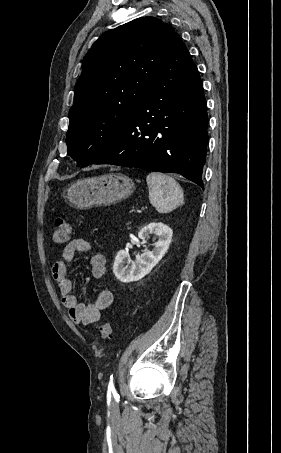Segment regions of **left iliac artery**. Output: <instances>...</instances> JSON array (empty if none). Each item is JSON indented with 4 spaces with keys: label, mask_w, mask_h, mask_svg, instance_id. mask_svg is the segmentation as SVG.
<instances>
[{
    "label": "left iliac artery",
    "mask_w": 281,
    "mask_h": 453,
    "mask_svg": "<svg viewBox=\"0 0 281 453\" xmlns=\"http://www.w3.org/2000/svg\"><path fill=\"white\" fill-rule=\"evenodd\" d=\"M115 390V387H114V384H113V375L110 376V382H109V385H108V391H114Z\"/></svg>",
    "instance_id": "44dca946"
}]
</instances>
